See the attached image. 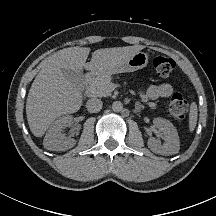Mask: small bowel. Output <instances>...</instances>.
<instances>
[{
	"label": "small bowel",
	"instance_id": "c3829d8e",
	"mask_svg": "<svg viewBox=\"0 0 216 216\" xmlns=\"http://www.w3.org/2000/svg\"><path fill=\"white\" fill-rule=\"evenodd\" d=\"M173 92V87L169 83L151 85L146 92L149 99L168 98Z\"/></svg>",
	"mask_w": 216,
	"mask_h": 216
}]
</instances>
